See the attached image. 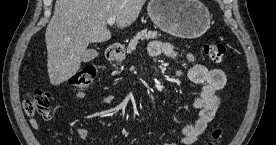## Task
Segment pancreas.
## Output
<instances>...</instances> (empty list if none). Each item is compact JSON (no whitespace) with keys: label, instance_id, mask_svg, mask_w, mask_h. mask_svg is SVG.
<instances>
[{"label":"pancreas","instance_id":"obj_1","mask_svg":"<svg viewBox=\"0 0 276 145\" xmlns=\"http://www.w3.org/2000/svg\"><path fill=\"white\" fill-rule=\"evenodd\" d=\"M157 31H147L143 30L139 33H137L129 42V45L127 47V53L131 54L132 51L136 50L137 45L139 44V41L144 40H150L155 39L157 36H159Z\"/></svg>","mask_w":276,"mask_h":145}]
</instances>
